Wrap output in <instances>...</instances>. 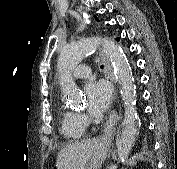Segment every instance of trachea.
Instances as JSON below:
<instances>
[{"instance_id":"obj_1","label":"trachea","mask_w":177,"mask_h":169,"mask_svg":"<svg viewBox=\"0 0 177 169\" xmlns=\"http://www.w3.org/2000/svg\"><path fill=\"white\" fill-rule=\"evenodd\" d=\"M100 68L103 69V65H101Z\"/></svg>"}]
</instances>
